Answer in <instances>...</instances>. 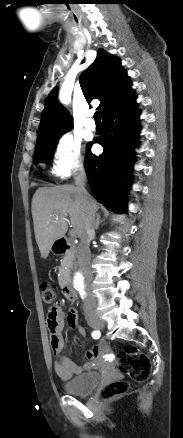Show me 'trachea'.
Instances as JSON below:
<instances>
[{"label": "trachea", "instance_id": "trachea-1", "mask_svg": "<svg viewBox=\"0 0 183 438\" xmlns=\"http://www.w3.org/2000/svg\"><path fill=\"white\" fill-rule=\"evenodd\" d=\"M94 119H95V121H101L99 111H96V112H95V114H94Z\"/></svg>", "mask_w": 183, "mask_h": 438}]
</instances>
